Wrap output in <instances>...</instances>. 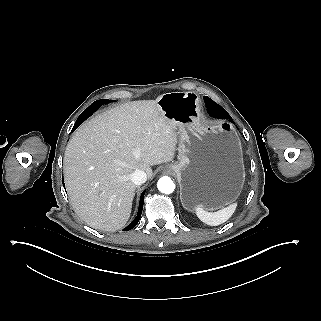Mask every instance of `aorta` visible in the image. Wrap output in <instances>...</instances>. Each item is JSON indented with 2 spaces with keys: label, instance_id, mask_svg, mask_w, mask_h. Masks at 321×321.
Returning a JSON list of instances; mask_svg holds the SVG:
<instances>
[{
  "label": "aorta",
  "instance_id": "aorta-1",
  "mask_svg": "<svg viewBox=\"0 0 321 321\" xmlns=\"http://www.w3.org/2000/svg\"><path fill=\"white\" fill-rule=\"evenodd\" d=\"M158 190L165 194H170L175 190V184L170 177H162L157 183Z\"/></svg>",
  "mask_w": 321,
  "mask_h": 321
}]
</instances>
